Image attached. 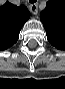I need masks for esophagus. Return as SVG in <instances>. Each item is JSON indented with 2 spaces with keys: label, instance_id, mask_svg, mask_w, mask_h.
Instances as JSON below:
<instances>
[{
  "label": "esophagus",
  "instance_id": "obj_1",
  "mask_svg": "<svg viewBox=\"0 0 65 89\" xmlns=\"http://www.w3.org/2000/svg\"><path fill=\"white\" fill-rule=\"evenodd\" d=\"M30 11L36 15L38 13V4L37 3H33L29 5Z\"/></svg>",
  "mask_w": 65,
  "mask_h": 89
}]
</instances>
